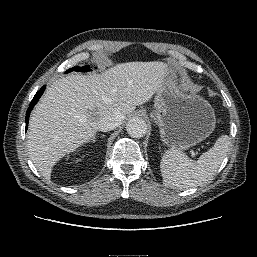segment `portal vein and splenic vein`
Returning a JSON list of instances; mask_svg holds the SVG:
<instances>
[{
	"instance_id": "1",
	"label": "portal vein and splenic vein",
	"mask_w": 257,
	"mask_h": 257,
	"mask_svg": "<svg viewBox=\"0 0 257 257\" xmlns=\"http://www.w3.org/2000/svg\"><path fill=\"white\" fill-rule=\"evenodd\" d=\"M191 155H192L193 157H195V153H194L193 151L191 152Z\"/></svg>"
}]
</instances>
